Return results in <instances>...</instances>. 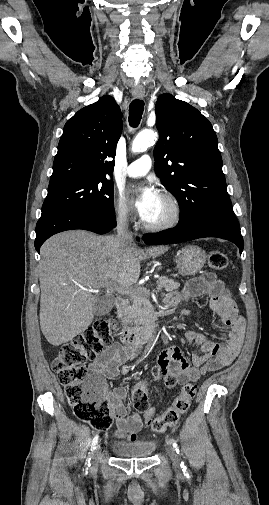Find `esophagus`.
<instances>
[{"label":"esophagus","instance_id":"1","mask_svg":"<svg viewBox=\"0 0 269 505\" xmlns=\"http://www.w3.org/2000/svg\"><path fill=\"white\" fill-rule=\"evenodd\" d=\"M132 95L134 98H143L145 96V90L144 89H133Z\"/></svg>","mask_w":269,"mask_h":505}]
</instances>
